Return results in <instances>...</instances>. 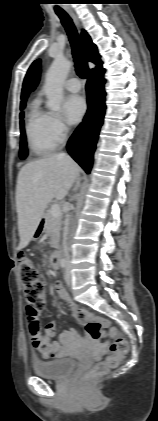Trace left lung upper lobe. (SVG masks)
<instances>
[{
    "mask_svg": "<svg viewBox=\"0 0 158 421\" xmlns=\"http://www.w3.org/2000/svg\"><path fill=\"white\" fill-rule=\"evenodd\" d=\"M38 80H39V76L37 77V80H36V82H35V84H34V88L36 87V85H37V83H38Z\"/></svg>",
    "mask_w": 158,
    "mask_h": 421,
    "instance_id": "5c2ea615",
    "label": "left lung upper lobe"
}]
</instances>
